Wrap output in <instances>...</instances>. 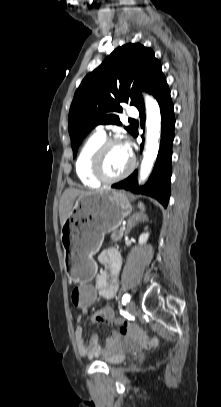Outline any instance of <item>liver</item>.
<instances>
[{
    "mask_svg": "<svg viewBox=\"0 0 221 407\" xmlns=\"http://www.w3.org/2000/svg\"><path fill=\"white\" fill-rule=\"evenodd\" d=\"M96 191H83L74 188H68L64 191L59 205L60 224L63 226L67 218L71 214L74 201L77 197L93 194Z\"/></svg>",
    "mask_w": 221,
    "mask_h": 407,
    "instance_id": "6515ba94",
    "label": "liver"
}]
</instances>
